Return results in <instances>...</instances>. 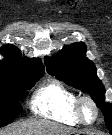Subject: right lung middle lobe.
<instances>
[{
  "label": "right lung middle lobe",
  "mask_w": 112,
  "mask_h": 135,
  "mask_svg": "<svg viewBox=\"0 0 112 135\" xmlns=\"http://www.w3.org/2000/svg\"><path fill=\"white\" fill-rule=\"evenodd\" d=\"M40 77L28 79L20 75L0 78V127L11 123L22 111L20 99L27 96L29 90Z\"/></svg>",
  "instance_id": "1"
}]
</instances>
